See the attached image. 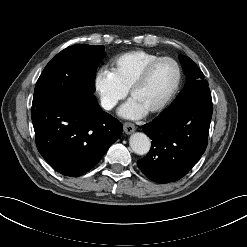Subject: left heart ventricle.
I'll return each mask as SVG.
<instances>
[{
  "label": "left heart ventricle",
  "mask_w": 247,
  "mask_h": 247,
  "mask_svg": "<svg viewBox=\"0 0 247 247\" xmlns=\"http://www.w3.org/2000/svg\"><path fill=\"white\" fill-rule=\"evenodd\" d=\"M175 80V66L169 61H162L153 68L147 81L133 93L132 98L150 110L168 95Z\"/></svg>",
  "instance_id": "b2bd125f"
}]
</instances>
